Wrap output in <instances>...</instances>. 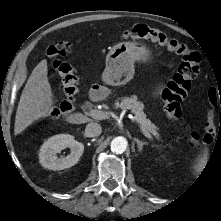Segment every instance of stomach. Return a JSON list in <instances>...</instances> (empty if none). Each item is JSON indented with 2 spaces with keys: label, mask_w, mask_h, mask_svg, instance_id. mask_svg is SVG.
I'll list each match as a JSON object with an SVG mask.
<instances>
[{
  "label": "stomach",
  "mask_w": 221,
  "mask_h": 221,
  "mask_svg": "<svg viewBox=\"0 0 221 221\" xmlns=\"http://www.w3.org/2000/svg\"><path fill=\"white\" fill-rule=\"evenodd\" d=\"M149 58L150 52L143 43L120 42L106 56L102 79L108 85H124L133 78L135 61L146 62Z\"/></svg>",
  "instance_id": "0dacf381"
}]
</instances>
